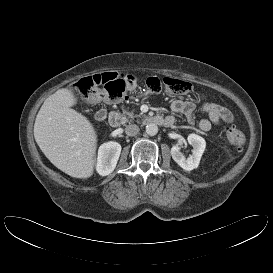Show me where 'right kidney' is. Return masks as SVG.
<instances>
[{
	"label": "right kidney",
	"instance_id": "right-kidney-1",
	"mask_svg": "<svg viewBox=\"0 0 273 273\" xmlns=\"http://www.w3.org/2000/svg\"><path fill=\"white\" fill-rule=\"evenodd\" d=\"M121 153V145L117 142H107L102 144L98 150L96 170L106 176L112 173L117 165Z\"/></svg>",
	"mask_w": 273,
	"mask_h": 273
}]
</instances>
